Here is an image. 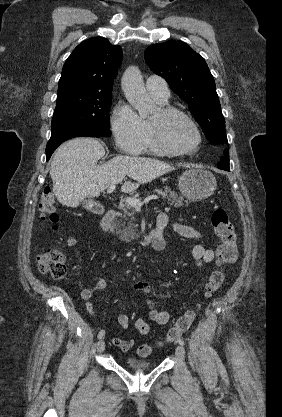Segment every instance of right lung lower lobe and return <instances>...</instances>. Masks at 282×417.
I'll use <instances>...</instances> for the list:
<instances>
[{
  "label": "right lung lower lobe",
  "instance_id": "right-lung-lower-lobe-1",
  "mask_svg": "<svg viewBox=\"0 0 282 417\" xmlns=\"http://www.w3.org/2000/svg\"><path fill=\"white\" fill-rule=\"evenodd\" d=\"M88 136V137H102L104 135L83 129V128H70L63 131H60L55 134H51V138L46 147V157L47 161L54 152V150L65 140L74 137Z\"/></svg>",
  "mask_w": 282,
  "mask_h": 417
}]
</instances>
